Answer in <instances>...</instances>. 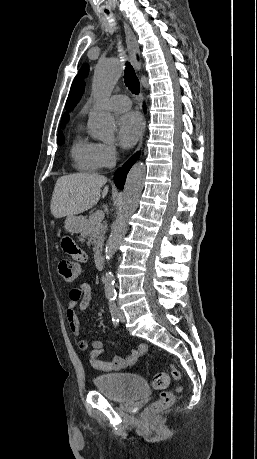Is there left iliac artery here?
I'll return each mask as SVG.
<instances>
[{
  "label": "left iliac artery",
  "mask_w": 257,
  "mask_h": 459,
  "mask_svg": "<svg viewBox=\"0 0 257 459\" xmlns=\"http://www.w3.org/2000/svg\"><path fill=\"white\" fill-rule=\"evenodd\" d=\"M114 299L116 298V296H112Z\"/></svg>",
  "instance_id": "obj_1"
}]
</instances>
